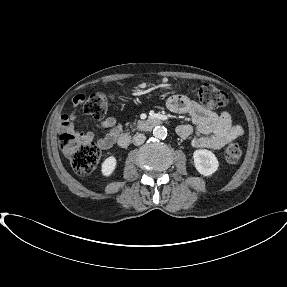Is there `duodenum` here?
<instances>
[{
	"label": "duodenum",
	"instance_id": "obj_1",
	"mask_svg": "<svg viewBox=\"0 0 287 287\" xmlns=\"http://www.w3.org/2000/svg\"><path fill=\"white\" fill-rule=\"evenodd\" d=\"M162 122V119L159 116H151L145 120L140 121L136 125V129L142 132H148L153 130L156 126H158ZM117 143L119 147L126 148L130 143V137L128 134H120L117 138Z\"/></svg>",
	"mask_w": 287,
	"mask_h": 287
}]
</instances>
